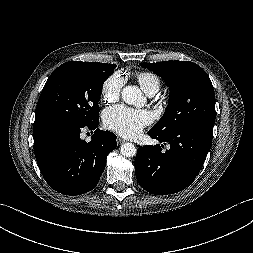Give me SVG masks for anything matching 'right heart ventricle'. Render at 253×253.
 <instances>
[{
    "label": "right heart ventricle",
    "mask_w": 253,
    "mask_h": 253,
    "mask_svg": "<svg viewBox=\"0 0 253 253\" xmlns=\"http://www.w3.org/2000/svg\"><path fill=\"white\" fill-rule=\"evenodd\" d=\"M136 79L145 93H155L159 90L161 81L160 78L151 71H143L136 75Z\"/></svg>",
    "instance_id": "e07e8e85"
}]
</instances>
